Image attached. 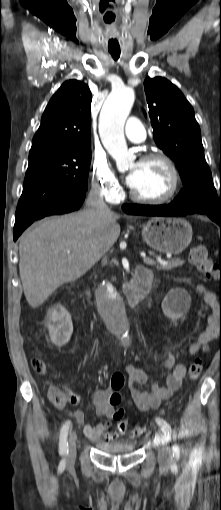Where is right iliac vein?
<instances>
[{"instance_id":"right-iliac-vein-1","label":"right iliac vein","mask_w":221,"mask_h":510,"mask_svg":"<svg viewBox=\"0 0 221 510\" xmlns=\"http://www.w3.org/2000/svg\"><path fill=\"white\" fill-rule=\"evenodd\" d=\"M76 440H77L76 433L75 432L71 433L68 442V455H67L68 465H72L76 458Z\"/></svg>"}]
</instances>
